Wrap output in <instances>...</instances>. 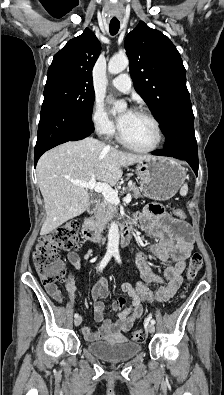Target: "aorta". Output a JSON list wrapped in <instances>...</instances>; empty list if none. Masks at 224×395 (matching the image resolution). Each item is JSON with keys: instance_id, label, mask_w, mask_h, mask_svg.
Wrapping results in <instances>:
<instances>
[{"instance_id": "762f6f07", "label": "aorta", "mask_w": 224, "mask_h": 395, "mask_svg": "<svg viewBox=\"0 0 224 395\" xmlns=\"http://www.w3.org/2000/svg\"><path fill=\"white\" fill-rule=\"evenodd\" d=\"M129 65V60L126 55H115L108 63V72L110 74H118L125 70ZM127 104L125 102L115 104V110L118 112L125 111ZM119 229L118 224L112 222L108 231L107 250L112 253L119 251Z\"/></svg>"}]
</instances>
